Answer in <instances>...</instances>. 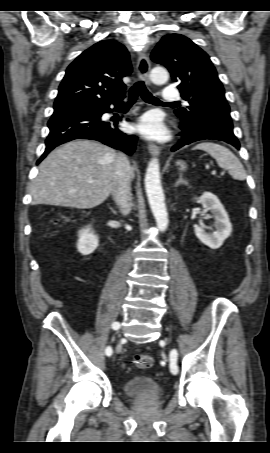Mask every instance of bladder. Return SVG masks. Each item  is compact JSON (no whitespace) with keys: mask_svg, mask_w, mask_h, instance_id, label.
Here are the masks:
<instances>
[{"mask_svg":"<svg viewBox=\"0 0 270 453\" xmlns=\"http://www.w3.org/2000/svg\"><path fill=\"white\" fill-rule=\"evenodd\" d=\"M123 391L130 398L158 399L163 389L158 382L149 376L137 375L123 384Z\"/></svg>","mask_w":270,"mask_h":453,"instance_id":"1","label":"bladder"}]
</instances>
